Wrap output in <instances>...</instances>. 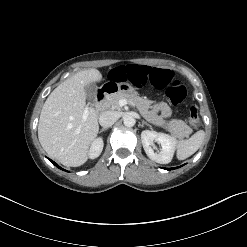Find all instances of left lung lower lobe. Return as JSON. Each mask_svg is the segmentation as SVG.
Here are the masks:
<instances>
[{
	"label": "left lung lower lobe",
	"mask_w": 247,
	"mask_h": 247,
	"mask_svg": "<svg viewBox=\"0 0 247 247\" xmlns=\"http://www.w3.org/2000/svg\"><path fill=\"white\" fill-rule=\"evenodd\" d=\"M167 170H172V169H176V168H166Z\"/></svg>",
	"instance_id": "obj_1"
}]
</instances>
